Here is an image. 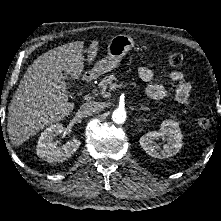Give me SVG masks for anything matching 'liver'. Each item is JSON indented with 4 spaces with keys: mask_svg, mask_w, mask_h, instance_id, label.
<instances>
[{
    "mask_svg": "<svg viewBox=\"0 0 221 221\" xmlns=\"http://www.w3.org/2000/svg\"><path fill=\"white\" fill-rule=\"evenodd\" d=\"M82 41L58 46L39 56L29 66L16 90L8 111L7 131L12 145L18 147L41 129L70 115L74 103L68 102L63 72L79 79L84 68ZM92 41L87 61L98 52Z\"/></svg>",
    "mask_w": 221,
    "mask_h": 221,
    "instance_id": "obj_1",
    "label": "liver"
}]
</instances>
